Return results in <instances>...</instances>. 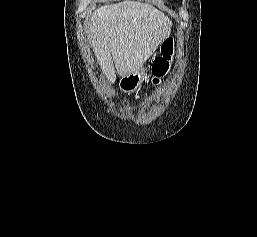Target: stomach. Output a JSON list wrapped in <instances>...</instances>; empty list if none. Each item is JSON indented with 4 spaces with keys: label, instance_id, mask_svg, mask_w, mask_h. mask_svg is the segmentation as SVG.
Instances as JSON below:
<instances>
[{
    "label": "stomach",
    "instance_id": "1",
    "mask_svg": "<svg viewBox=\"0 0 257 237\" xmlns=\"http://www.w3.org/2000/svg\"><path fill=\"white\" fill-rule=\"evenodd\" d=\"M145 71V69H140L136 72L122 76L119 81V88L125 93L136 91L146 76Z\"/></svg>",
    "mask_w": 257,
    "mask_h": 237
}]
</instances>
